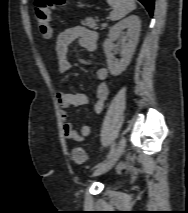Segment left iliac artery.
Masks as SVG:
<instances>
[{
    "instance_id": "44dca946",
    "label": "left iliac artery",
    "mask_w": 188,
    "mask_h": 213,
    "mask_svg": "<svg viewBox=\"0 0 188 213\" xmlns=\"http://www.w3.org/2000/svg\"><path fill=\"white\" fill-rule=\"evenodd\" d=\"M115 147H116V144L113 143L112 146H111L110 152H109V154L107 156V159H110L113 156V154L115 152ZM102 164L103 163H100V164L96 165V167H100Z\"/></svg>"
}]
</instances>
